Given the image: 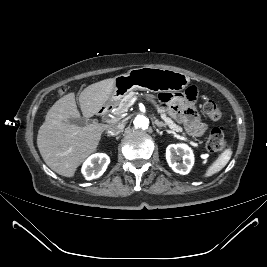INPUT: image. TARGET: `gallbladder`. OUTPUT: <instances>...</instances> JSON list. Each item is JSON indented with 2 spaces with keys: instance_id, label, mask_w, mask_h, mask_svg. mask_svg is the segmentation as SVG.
Returning a JSON list of instances; mask_svg holds the SVG:
<instances>
[{
  "instance_id": "1",
  "label": "gallbladder",
  "mask_w": 267,
  "mask_h": 267,
  "mask_svg": "<svg viewBox=\"0 0 267 267\" xmlns=\"http://www.w3.org/2000/svg\"><path fill=\"white\" fill-rule=\"evenodd\" d=\"M69 123L75 124L77 126L83 127L87 124V120L85 118H69L68 119Z\"/></svg>"
}]
</instances>
